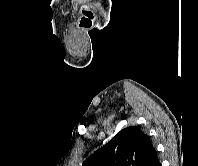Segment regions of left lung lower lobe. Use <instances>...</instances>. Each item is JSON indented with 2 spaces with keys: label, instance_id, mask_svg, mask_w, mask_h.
<instances>
[{
  "label": "left lung lower lobe",
  "instance_id": "obj_1",
  "mask_svg": "<svg viewBox=\"0 0 198 166\" xmlns=\"http://www.w3.org/2000/svg\"><path fill=\"white\" fill-rule=\"evenodd\" d=\"M150 166H161L158 156L154 159Z\"/></svg>",
  "mask_w": 198,
  "mask_h": 166
}]
</instances>
